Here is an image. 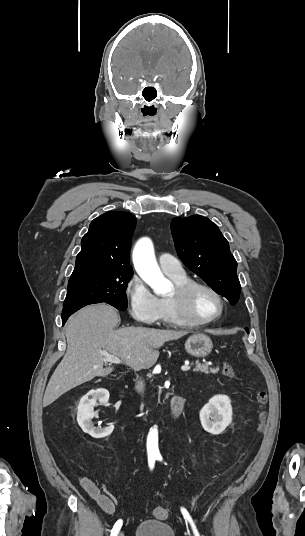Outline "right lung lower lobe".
Returning <instances> with one entry per match:
<instances>
[{
  "label": "right lung lower lobe",
  "mask_w": 305,
  "mask_h": 536,
  "mask_svg": "<svg viewBox=\"0 0 305 536\" xmlns=\"http://www.w3.org/2000/svg\"><path fill=\"white\" fill-rule=\"evenodd\" d=\"M82 307H84V306L63 308V310H62V324L64 325V323L67 321L68 317L70 315H72L74 312H76L77 310H79L80 308H82Z\"/></svg>",
  "instance_id": "1"
}]
</instances>
